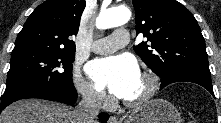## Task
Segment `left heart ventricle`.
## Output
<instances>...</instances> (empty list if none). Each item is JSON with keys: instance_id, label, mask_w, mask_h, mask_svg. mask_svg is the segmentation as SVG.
<instances>
[{"instance_id": "left-heart-ventricle-1", "label": "left heart ventricle", "mask_w": 221, "mask_h": 123, "mask_svg": "<svg viewBox=\"0 0 221 123\" xmlns=\"http://www.w3.org/2000/svg\"><path fill=\"white\" fill-rule=\"evenodd\" d=\"M148 82L140 74L130 86L128 92L123 97L125 100H136L140 98L147 90Z\"/></svg>"}]
</instances>
